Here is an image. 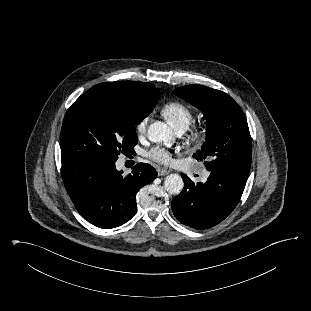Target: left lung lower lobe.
I'll return each instance as SVG.
<instances>
[{
  "label": "left lung lower lobe",
  "instance_id": "0a47b994",
  "mask_svg": "<svg viewBox=\"0 0 311 311\" xmlns=\"http://www.w3.org/2000/svg\"><path fill=\"white\" fill-rule=\"evenodd\" d=\"M208 171L205 183H194L182 174L184 188L172 200L174 216L195 229H208L223 221L239 203L248 178L232 171Z\"/></svg>",
  "mask_w": 311,
  "mask_h": 311
}]
</instances>
